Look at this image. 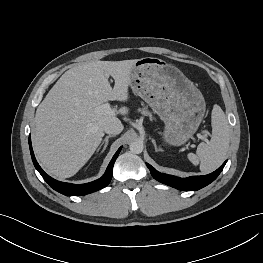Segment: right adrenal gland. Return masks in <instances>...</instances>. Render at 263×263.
Instances as JSON below:
<instances>
[{
  "label": "right adrenal gland",
  "instance_id": "right-adrenal-gland-1",
  "mask_svg": "<svg viewBox=\"0 0 263 263\" xmlns=\"http://www.w3.org/2000/svg\"><path fill=\"white\" fill-rule=\"evenodd\" d=\"M111 137H114V135H108L105 137V139L102 141V143L100 144L99 148H98V151L100 150V148L103 146V149L101 150V153L104 152V150L106 149L107 145H108V142H109V138Z\"/></svg>",
  "mask_w": 263,
  "mask_h": 263
}]
</instances>
